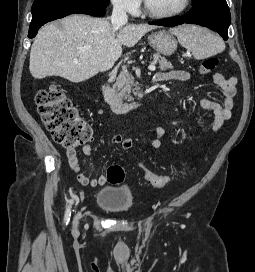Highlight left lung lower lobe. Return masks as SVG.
<instances>
[{"label":"left lung lower lobe","mask_w":255,"mask_h":272,"mask_svg":"<svg viewBox=\"0 0 255 272\" xmlns=\"http://www.w3.org/2000/svg\"><path fill=\"white\" fill-rule=\"evenodd\" d=\"M231 15L226 0H199L184 16L163 19L149 24L173 27L183 23L198 24L217 31L224 40L228 39Z\"/></svg>","instance_id":"0a47b994"}]
</instances>
